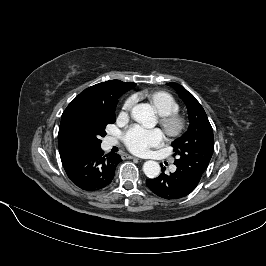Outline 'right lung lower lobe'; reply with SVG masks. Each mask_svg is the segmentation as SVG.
I'll list each match as a JSON object with an SVG mask.
<instances>
[{
    "instance_id": "right-lung-lower-lobe-1",
    "label": "right lung lower lobe",
    "mask_w": 266,
    "mask_h": 266,
    "mask_svg": "<svg viewBox=\"0 0 266 266\" xmlns=\"http://www.w3.org/2000/svg\"><path fill=\"white\" fill-rule=\"evenodd\" d=\"M69 179L86 191H97L111 183L121 157L103 155L101 147L80 149L61 157Z\"/></svg>"
}]
</instances>
